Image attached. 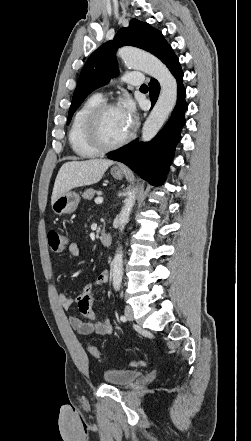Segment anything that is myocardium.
I'll return each mask as SVG.
<instances>
[{"instance_id":"myocardium-1","label":"myocardium","mask_w":251,"mask_h":441,"mask_svg":"<svg viewBox=\"0 0 251 441\" xmlns=\"http://www.w3.org/2000/svg\"><path fill=\"white\" fill-rule=\"evenodd\" d=\"M115 108L117 106L114 103L103 102L94 108L87 118L85 126L87 140L99 152L116 150L127 144L133 137V132L129 131L123 139L116 143L109 144L104 141L100 132V122L107 111Z\"/></svg>"}]
</instances>
